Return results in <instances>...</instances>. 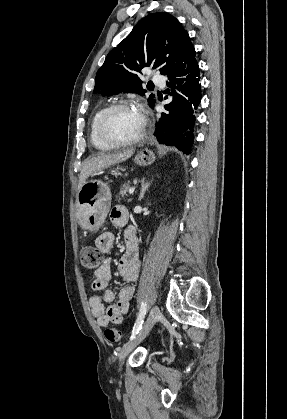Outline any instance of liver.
I'll return each mask as SVG.
<instances>
[{
  "instance_id": "1",
  "label": "liver",
  "mask_w": 287,
  "mask_h": 419,
  "mask_svg": "<svg viewBox=\"0 0 287 419\" xmlns=\"http://www.w3.org/2000/svg\"><path fill=\"white\" fill-rule=\"evenodd\" d=\"M134 154V149L125 150L123 152H118L114 154H97L85 160L83 163L80 177L78 190L86 182L89 176L94 175L96 172H99L103 169H106L112 165H115L119 162H123L129 159Z\"/></svg>"
}]
</instances>
